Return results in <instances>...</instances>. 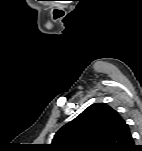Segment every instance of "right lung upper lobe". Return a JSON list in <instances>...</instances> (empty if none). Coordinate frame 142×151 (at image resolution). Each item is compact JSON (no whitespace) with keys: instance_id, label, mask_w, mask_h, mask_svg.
<instances>
[{"instance_id":"obj_1","label":"right lung upper lobe","mask_w":142,"mask_h":151,"mask_svg":"<svg viewBox=\"0 0 142 151\" xmlns=\"http://www.w3.org/2000/svg\"><path fill=\"white\" fill-rule=\"evenodd\" d=\"M133 146L125 120L104 103L85 109L64 125L50 144L55 151H130Z\"/></svg>"}]
</instances>
